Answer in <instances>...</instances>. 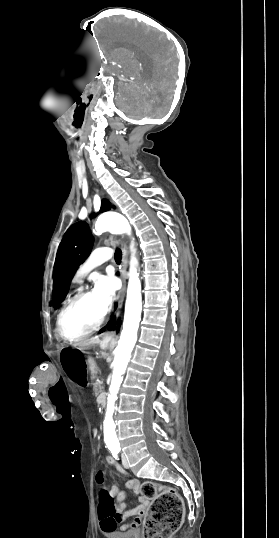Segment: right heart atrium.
Masks as SVG:
<instances>
[{
  "label": "right heart atrium",
  "mask_w": 279,
  "mask_h": 538,
  "mask_svg": "<svg viewBox=\"0 0 279 538\" xmlns=\"http://www.w3.org/2000/svg\"><path fill=\"white\" fill-rule=\"evenodd\" d=\"M110 233H111V234H116V233H117V230L112 228V229L110 230ZM54 236H55L56 238H58V234H57V233H55Z\"/></svg>",
  "instance_id": "right-heart-atrium-1"
}]
</instances>
